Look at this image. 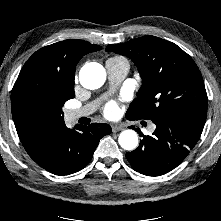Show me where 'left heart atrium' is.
Returning a JSON list of instances; mask_svg holds the SVG:
<instances>
[{
    "mask_svg": "<svg viewBox=\"0 0 221 221\" xmlns=\"http://www.w3.org/2000/svg\"><path fill=\"white\" fill-rule=\"evenodd\" d=\"M119 108L115 101H110L104 106V114L107 117H114L118 114Z\"/></svg>",
    "mask_w": 221,
    "mask_h": 221,
    "instance_id": "left-heart-atrium-1",
    "label": "left heart atrium"
}]
</instances>
